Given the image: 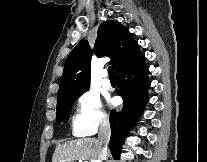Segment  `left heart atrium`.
<instances>
[{"instance_id":"1","label":"left heart atrium","mask_w":207,"mask_h":162,"mask_svg":"<svg viewBox=\"0 0 207 162\" xmlns=\"http://www.w3.org/2000/svg\"><path fill=\"white\" fill-rule=\"evenodd\" d=\"M114 104V101H110V105H113Z\"/></svg>"}]
</instances>
